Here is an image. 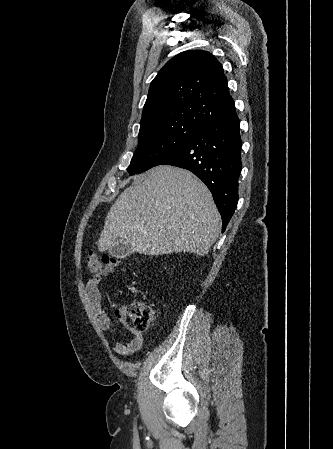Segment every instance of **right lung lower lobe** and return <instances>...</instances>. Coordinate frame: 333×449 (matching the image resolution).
Listing matches in <instances>:
<instances>
[{
	"label": "right lung lower lobe",
	"instance_id": "obj_1",
	"mask_svg": "<svg viewBox=\"0 0 333 449\" xmlns=\"http://www.w3.org/2000/svg\"><path fill=\"white\" fill-rule=\"evenodd\" d=\"M241 146L240 121L233 110L199 129L157 164L187 169L206 184L221 214L223 232L237 206Z\"/></svg>",
	"mask_w": 333,
	"mask_h": 449
}]
</instances>
